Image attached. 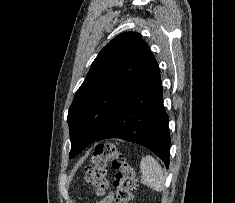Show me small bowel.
Masks as SVG:
<instances>
[{
	"label": "small bowel",
	"instance_id": "obj_1",
	"mask_svg": "<svg viewBox=\"0 0 235 203\" xmlns=\"http://www.w3.org/2000/svg\"><path fill=\"white\" fill-rule=\"evenodd\" d=\"M97 203H113V194L109 193L106 197L102 200L98 201Z\"/></svg>",
	"mask_w": 235,
	"mask_h": 203
}]
</instances>
